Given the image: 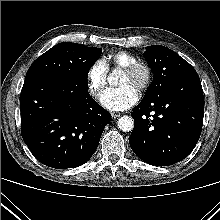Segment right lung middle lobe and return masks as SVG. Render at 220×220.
<instances>
[{"label": "right lung middle lobe", "instance_id": "right-lung-middle-lobe-1", "mask_svg": "<svg viewBox=\"0 0 220 220\" xmlns=\"http://www.w3.org/2000/svg\"><path fill=\"white\" fill-rule=\"evenodd\" d=\"M101 50V48L86 47L82 44L59 43L31 64L26 78L57 75L87 79L90 68L102 53Z\"/></svg>", "mask_w": 220, "mask_h": 220}]
</instances>
